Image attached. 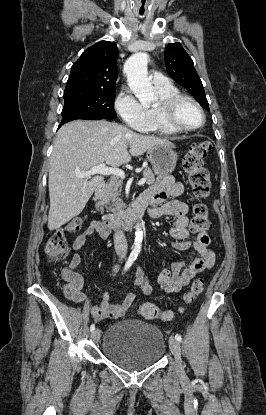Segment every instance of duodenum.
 <instances>
[{
  "label": "duodenum",
  "instance_id": "410a0bca",
  "mask_svg": "<svg viewBox=\"0 0 266 415\" xmlns=\"http://www.w3.org/2000/svg\"><path fill=\"white\" fill-rule=\"evenodd\" d=\"M104 189V184L99 183L95 188V194L101 195ZM146 204L136 200L125 211L107 214L102 219V224L108 230H121L132 227L143 215Z\"/></svg>",
  "mask_w": 266,
  "mask_h": 415
}]
</instances>
